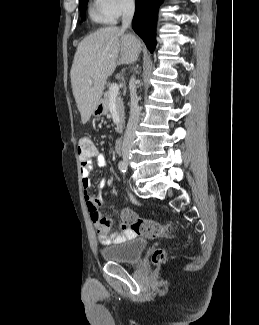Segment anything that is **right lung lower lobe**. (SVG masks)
<instances>
[{
  "mask_svg": "<svg viewBox=\"0 0 259 325\" xmlns=\"http://www.w3.org/2000/svg\"><path fill=\"white\" fill-rule=\"evenodd\" d=\"M162 0H136L132 21L134 31L143 39L147 48L153 52L156 46V21Z\"/></svg>",
  "mask_w": 259,
  "mask_h": 325,
  "instance_id": "obj_1",
  "label": "right lung lower lobe"
}]
</instances>
